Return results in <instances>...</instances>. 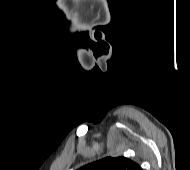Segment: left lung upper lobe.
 Returning a JSON list of instances; mask_svg holds the SVG:
<instances>
[{"label": "left lung upper lobe", "mask_w": 190, "mask_h": 170, "mask_svg": "<svg viewBox=\"0 0 190 170\" xmlns=\"http://www.w3.org/2000/svg\"><path fill=\"white\" fill-rule=\"evenodd\" d=\"M78 170H142L134 161L126 157H106L87 164Z\"/></svg>", "instance_id": "1"}]
</instances>
